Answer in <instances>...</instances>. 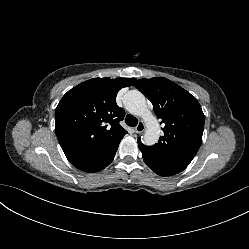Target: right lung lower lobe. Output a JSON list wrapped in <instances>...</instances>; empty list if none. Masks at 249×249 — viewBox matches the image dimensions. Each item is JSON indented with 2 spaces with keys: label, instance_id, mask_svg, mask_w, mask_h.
<instances>
[{
  "label": "right lung lower lobe",
  "instance_id": "1",
  "mask_svg": "<svg viewBox=\"0 0 249 249\" xmlns=\"http://www.w3.org/2000/svg\"><path fill=\"white\" fill-rule=\"evenodd\" d=\"M120 141L121 139L98 149L65 152V155L79 170L98 172L113 161Z\"/></svg>",
  "mask_w": 249,
  "mask_h": 249
}]
</instances>
